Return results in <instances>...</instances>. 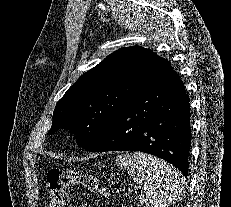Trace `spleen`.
I'll return each mask as SVG.
<instances>
[{"mask_svg": "<svg viewBox=\"0 0 231 207\" xmlns=\"http://www.w3.org/2000/svg\"><path fill=\"white\" fill-rule=\"evenodd\" d=\"M116 165L125 168L135 182L143 185L139 201L146 207H166L180 202L185 179L178 170L151 155L134 152L116 157Z\"/></svg>", "mask_w": 231, "mask_h": 207, "instance_id": "1", "label": "spleen"}]
</instances>
